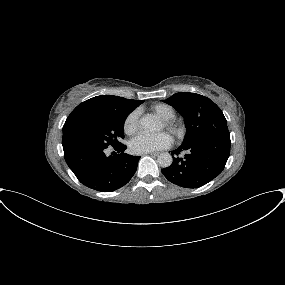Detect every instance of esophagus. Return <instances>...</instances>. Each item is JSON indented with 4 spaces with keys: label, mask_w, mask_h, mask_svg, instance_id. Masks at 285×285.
Segmentation results:
<instances>
[{
    "label": "esophagus",
    "mask_w": 285,
    "mask_h": 285,
    "mask_svg": "<svg viewBox=\"0 0 285 285\" xmlns=\"http://www.w3.org/2000/svg\"><path fill=\"white\" fill-rule=\"evenodd\" d=\"M149 155L151 156H158L160 155V152H151V153H148Z\"/></svg>",
    "instance_id": "34e87169"
}]
</instances>
